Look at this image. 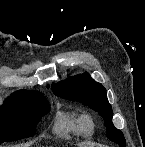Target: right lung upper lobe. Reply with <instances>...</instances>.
Returning <instances> with one entry per match:
<instances>
[{"mask_svg": "<svg viewBox=\"0 0 145 147\" xmlns=\"http://www.w3.org/2000/svg\"><path fill=\"white\" fill-rule=\"evenodd\" d=\"M24 91H26V90L17 91L16 93H18V92H24Z\"/></svg>", "mask_w": 145, "mask_h": 147, "instance_id": "right-lung-upper-lobe-1", "label": "right lung upper lobe"}]
</instances>
